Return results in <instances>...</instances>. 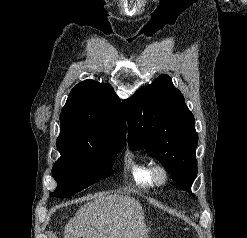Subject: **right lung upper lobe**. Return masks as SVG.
<instances>
[{
  "label": "right lung upper lobe",
  "instance_id": "obj_1",
  "mask_svg": "<svg viewBox=\"0 0 247 238\" xmlns=\"http://www.w3.org/2000/svg\"><path fill=\"white\" fill-rule=\"evenodd\" d=\"M66 138L126 142L121 101L110 85L85 80L71 90L60 114L58 139Z\"/></svg>",
  "mask_w": 247,
  "mask_h": 238
}]
</instances>
